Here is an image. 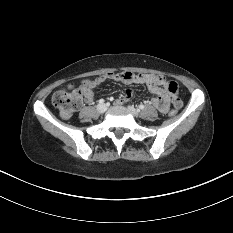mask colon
<instances>
[{
  "label": "colon",
  "mask_w": 233,
  "mask_h": 233,
  "mask_svg": "<svg viewBox=\"0 0 233 233\" xmlns=\"http://www.w3.org/2000/svg\"><path fill=\"white\" fill-rule=\"evenodd\" d=\"M87 85L68 91L59 90L52 97V103L63 119H69L82 106ZM170 116L177 114V108L170 111Z\"/></svg>",
  "instance_id": "1"
}]
</instances>
